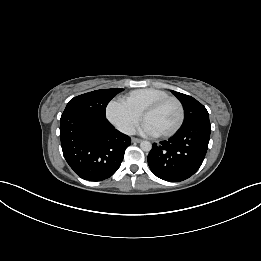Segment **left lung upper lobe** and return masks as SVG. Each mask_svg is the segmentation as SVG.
<instances>
[{
    "mask_svg": "<svg viewBox=\"0 0 261 261\" xmlns=\"http://www.w3.org/2000/svg\"><path fill=\"white\" fill-rule=\"evenodd\" d=\"M172 93L181 101L185 111V119L182 126H187L200 121H209L206 108L196 99L176 91Z\"/></svg>",
    "mask_w": 261,
    "mask_h": 261,
    "instance_id": "left-lung-upper-lobe-1",
    "label": "left lung upper lobe"
}]
</instances>
